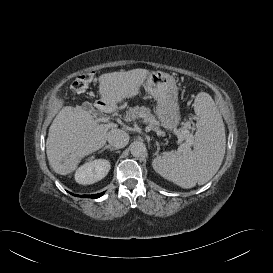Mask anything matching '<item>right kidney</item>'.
I'll return each instance as SVG.
<instances>
[{"mask_svg": "<svg viewBox=\"0 0 273 273\" xmlns=\"http://www.w3.org/2000/svg\"><path fill=\"white\" fill-rule=\"evenodd\" d=\"M110 170V163L105 159L87 162L80 166L75 172L77 183L86 185L93 184L103 179Z\"/></svg>", "mask_w": 273, "mask_h": 273, "instance_id": "right-kidney-1", "label": "right kidney"}]
</instances>
